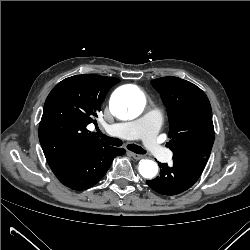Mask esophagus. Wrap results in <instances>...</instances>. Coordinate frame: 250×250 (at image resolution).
Listing matches in <instances>:
<instances>
[{
	"label": "esophagus",
	"mask_w": 250,
	"mask_h": 250,
	"mask_svg": "<svg viewBox=\"0 0 250 250\" xmlns=\"http://www.w3.org/2000/svg\"><path fill=\"white\" fill-rule=\"evenodd\" d=\"M134 159L136 160H140L143 158V155H140V154H136V153H133V152H128Z\"/></svg>",
	"instance_id": "1"
}]
</instances>
